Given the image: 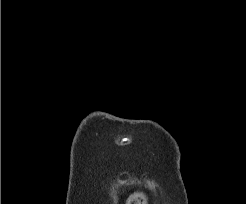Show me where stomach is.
Segmentation results:
<instances>
[{"label": "stomach", "instance_id": "obj_1", "mask_svg": "<svg viewBox=\"0 0 246 204\" xmlns=\"http://www.w3.org/2000/svg\"><path fill=\"white\" fill-rule=\"evenodd\" d=\"M147 202L148 198L141 192L130 195L126 200V204H147Z\"/></svg>", "mask_w": 246, "mask_h": 204}]
</instances>
